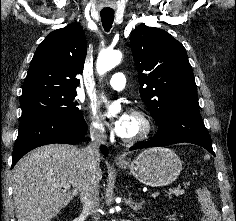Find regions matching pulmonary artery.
I'll list each match as a JSON object with an SVG mask.
<instances>
[{"label": "pulmonary artery", "instance_id": "1", "mask_svg": "<svg viewBox=\"0 0 236 221\" xmlns=\"http://www.w3.org/2000/svg\"><path fill=\"white\" fill-rule=\"evenodd\" d=\"M125 84L126 77L122 72L114 73L108 81V86L116 91L123 90L125 88Z\"/></svg>", "mask_w": 236, "mask_h": 221}]
</instances>
